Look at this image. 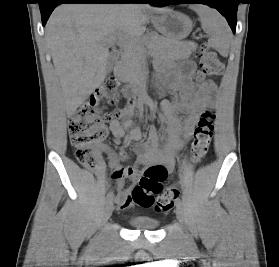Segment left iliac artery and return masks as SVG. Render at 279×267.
I'll return each instance as SVG.
<instances>
[{
	"mask_svg": "<svg viewBox=\"0 0 279 267\" xmlns=\"http://www.w3.org/2000/svg\"><path fill=\"white\" fill-rule=\"evenodd\" d=\"M176 206H177V207H181V206H182V201H181L180 199H178V200L176 201Z\"/></svg>",
	"mask_w": 279,
	"mask_h": 267,
	"instance_id": "left-iliac-artery-1",
	"label": "left iliac artery"
}]
</instances>
